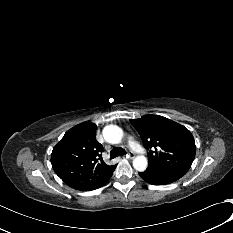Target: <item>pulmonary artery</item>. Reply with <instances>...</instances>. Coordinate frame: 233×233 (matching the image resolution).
<instances>
[{
    "instance_id": "pulmonary-artery-1",
    "label": "pulmonary artery",
    "mask_w": 233,
    "mask_h": 233,
    "mask_svg": "<svg viewBox=\"0 0 233 233\" xmlns=\"http://www.w3.org/2000/svg\"><path fill=\"white\" fill-rule=\"evenodd\" d=\"M130 145L136 152L141 153V148L137 143H135L134 141H131Z\"/></svg>"
}]
</instances>
